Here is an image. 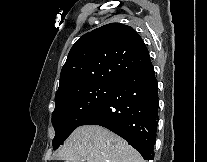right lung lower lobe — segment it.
Listing matches in <instances>:
<instances>
[{
    "label": "right lung lower lobe",
    "instance_id": "right-lung-lower-lobe-1",
    "mask_svg": "<svg viewBox=\"0 0 207 162\" xmlns=\"http://www.w3.org/2000/svg\"><path fill=\"white\" fill-rule=\"evenodd\" d=\"M157 88L149 62L120 78L109 96L80 126H103L127 140L145 160H153L158 122Z\"/></svg>",
    "mask_w": 207,
    "mask_h": 162
}]
</instances>
